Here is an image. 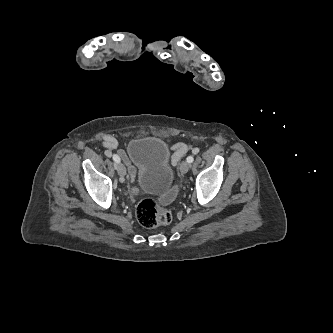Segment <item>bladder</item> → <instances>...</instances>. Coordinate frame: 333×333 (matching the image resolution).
Returning a JSON list of instances; mask_svg holds the SVG:
<instances>
[{
	"instance_id": "31cf9c89",
	"label": "bladder",
	"mask_w": 333,
	"mask_h": 333,
	"mask_svg": "<svg viewBox=\"0 0 333 333\" xmlns=\"http://www.w3.org/2000/svg\"><path fill=\"white\" fill-rule=\"evenodd\" d=\"M127 155L138 170L140 186L150 193L167 191L174 179L169 166V148L156 136L136 137L127 145Z\"/></svg>"
}]
</instances>
